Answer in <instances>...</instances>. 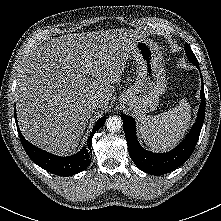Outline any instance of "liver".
I'll return each instance as SVG.
<instances>
[{
	"mask_svg": "<svg viewBox=\"0 0 221 221\" xmlns=\"http://www.w3.org/2000/svg\"><path fill=\"white\" fill-rule=\"evenodd\" d=\"M133 30L67 34L38 46L18 74L17 117L23 136L59 156L74 152L91 118L89 103L104 110L128 55L142 39Z\"/></svg>",
	"mask_w": 221,
	"mask_h": 221,
	"instance_id": "6515ba94",
	"label": "liver"
}]
</instances>
